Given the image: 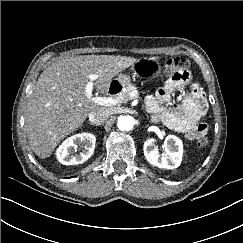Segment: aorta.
<instances>
[{
    "instance_id": "762f6f07",
    "label": "aorta",
    "mask_w": 243,
    "mask_h": 243,
    "mask_svg": "<svg viewBox=\"0 0 243 243\" xmlns=\"http://www.w3.org/2000/svg\"><path fill=\"white\" fill-rule=\"evenodd\" d=\"M117 126L121 131H129L134 126V118L132 116H120L117 121Z\"/></svg>"
}]
</instances>
